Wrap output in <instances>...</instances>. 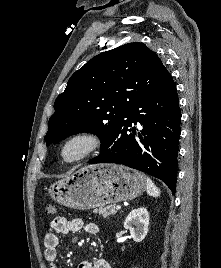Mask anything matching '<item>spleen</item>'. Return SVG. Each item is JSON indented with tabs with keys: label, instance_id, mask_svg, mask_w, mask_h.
<instances>
[{
	"label": "spleen",
	"instance_id": "obj_1",
	"mask_svg": "<svg viewBox=\"0 0 221 268\" xmlns=\"http://www.w3.org/2000/svg\"><path fill=\"white\" fill-rule=\"evenodd\" d=\"M146 191L149 196L152 197L160 196V190L155 186V184L149 177L147 178Z\"/></svg>",
	"mask_w": 221,
	"mask_h": 268
}]
</instances>
